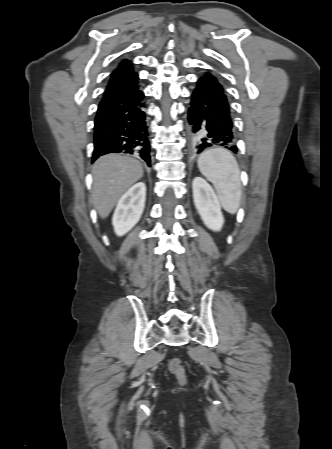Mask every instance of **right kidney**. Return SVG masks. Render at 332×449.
Here are the masks:
<instances>
[{"label":"right kidney","instance_id":"right-kidney-1","mask_svg":"<svg viewBox=\"0 0 332 449\" xmlns=\"http://www.w3.org/2000/svg\"><path fill=\"white\" fill-rule=\"evenodd\" d=\"M146 185L138 182L125 192L118 201L112 224L118 236L128 233L140 220L145 207Z\"/></svg>","mask_w":332,"mask_h":449}]
</instances>
